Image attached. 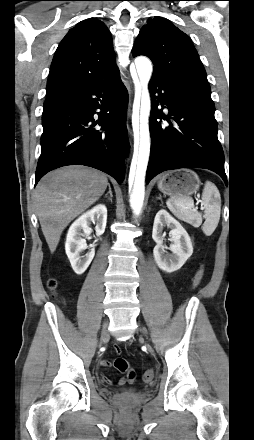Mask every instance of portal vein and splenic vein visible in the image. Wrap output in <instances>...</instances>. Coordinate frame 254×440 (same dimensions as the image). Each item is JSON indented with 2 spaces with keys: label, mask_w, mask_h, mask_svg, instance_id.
Listing matches in <instances>:
<instances>
[{
  "label": "portal vein and splenic vein",
  "mask_w": 254,
  "mask_h": 440,
  "mask_svg": "<svg viewBox=\"0 0 254 440\" xmlns=\"http://www.w3.org/2000/svg\"><path fill=\"white\" fill-rule=\"evenodd\" d=\"M198 208L196 207L194 210L196 211Z\"/></svg>",
  "instance_id": "1"
}]
</instances>
